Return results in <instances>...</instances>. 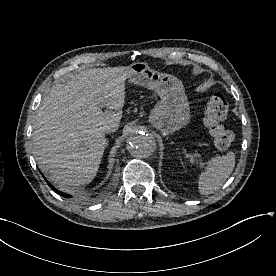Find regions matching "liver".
<instances>
[{
	"instance_id": "liver-1",
	"label": "liver",
	"mask_w": 276,
	"mask_h": 276,
	"mask_svg": "<svg viewBox=\"0 0 276 276\" xmlns=\"http://www.w3.org/2000/svg\"><path fill=\"white\" fill-rule=\"evenodd\" d=\"M129 73L130 66L83 70L44 97L33 126L34 154L59 190L73 193L96 176L106 147L103 126L121 120Z\"/></svg>"
}]
</instances>
